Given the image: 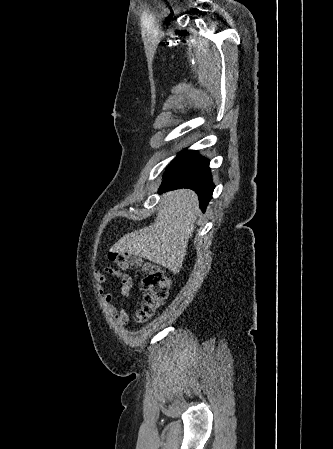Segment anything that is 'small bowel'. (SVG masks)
<instances>
[{
  "mask_svg": "<svg viewBox=\"0 0 333 449\" xmlns=\"http://www.w3.org/2000/svg\"><path fill=\"white\" fill-rule=\"evenodd\" d=\"M107 274L113 275L120 280V294L123 298H127L130 295L133 281L131 276L127 273L111 267H105L103 272L97 271L94 274L95 280L97 282V291L100 295L104 307L119 325L124 326L129 321L127 312L125 310L116 309V307L113 305V294L110 291L106 292L102 286V284L106 281Z\"/></svg>",
  "mask_w": 333,
  "mask_h": 449,
  "instance_id": "small-bowel-1",
  "label": "small bowel"
}]
</instances>
